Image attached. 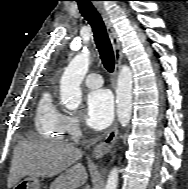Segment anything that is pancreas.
<instances>
[{
  "label": "pancreas",
  "mask_w": 188,
  "mask_h": 189,
  "mask_svg": "<svg viewBox=\"0 0 188 189\" xmlns=\"http://www.w3.org/2000/svg\"><path fill=\"white\" fill-rule=\"evenodd\" d=\"M60 179H57L54 183L51 184L50 189H57Z\"/></svg>",
  "instance_id": "pancreas-1"
}]
</instances>
